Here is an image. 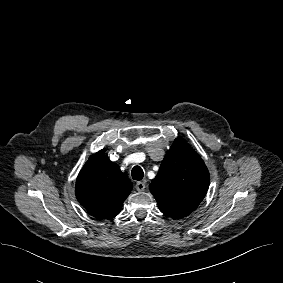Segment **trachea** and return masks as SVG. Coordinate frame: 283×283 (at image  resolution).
Returning <instances> with one entry per match:
<instances>
[{
    "mask_svg": "<svg viewBox=\"0 0 283 283\" xmlns=\"http://www.w3.org/2000/svg\"><path fill=\"white\" fill-rule=\"evenodd\" d=\"M131 176L134 180H142L144 176V172L140 166H134L131 171Z\"/></svg>",
    "mask_w": 283,
    "mask_h": 283,
    "instance_id": "3493384b",
    "label": "trachea"
}]
</instances>
